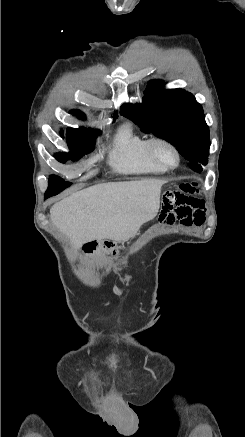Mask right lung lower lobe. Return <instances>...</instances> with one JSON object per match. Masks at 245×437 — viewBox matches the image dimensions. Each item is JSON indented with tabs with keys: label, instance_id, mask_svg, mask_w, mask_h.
Returning a JSON list of instances; mask_svg holds the SVG:
<instances>
[{
	"label": "right lung lower lobe",
	"instance_id": "1",
	"mask_svg": "<svg viewBox=\"0 0 245 437\" xmlns=\"http://www.w3.org/2000/svg\"><path fill=\"white\" fill-rule=\"evenodd\" d=\"M69 185H70V183H68L66 185L65 184H50L46 193H45V199L60 193L62 190L67 188Z\"/></svg>",
	"mask_w": 245,
	"mask_h": 437
}]
</instances>
